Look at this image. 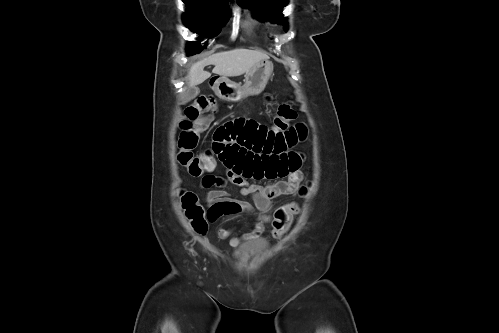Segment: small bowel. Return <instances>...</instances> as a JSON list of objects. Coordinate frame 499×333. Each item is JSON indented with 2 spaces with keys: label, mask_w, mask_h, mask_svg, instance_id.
Masks as SVG:
<instances>
[{
  "label": "small bowel",
  "mask_w": 499,
  "mask_h": 333,
  "mask_svg": "<svg viewBox=\"0 0 499 333\" xmlns=\"http://www.w3.org/2000/svg\"><path fill=\"white\" fill-rule=\"evenodd\" d=\"M304 124L290 126L286 131H275L255 120L239 118L221 125L213 135L211 148L204 154L216 157L226 168L225 176L206 175L202 179L208 191V217L210 222L238 218L241 213L254 216L257 227L251 234L234 236L232 230L219 226L216 234L229 239L231 246L257 237L263 224L272 221L270 212L273 200L281 196L303 193L301 170L303 156L293 147L304 140ZM282 178L273 184L261 183L264 179ZM254 180V182H250ZM231 183L239 187L243 196L252 203L233 197L223 186Z\"/></svg>",
  "instance_id": "obj_1"
}]
</instances>
